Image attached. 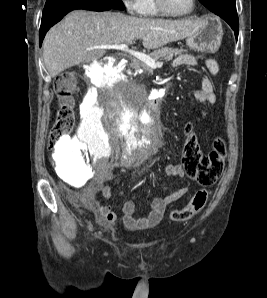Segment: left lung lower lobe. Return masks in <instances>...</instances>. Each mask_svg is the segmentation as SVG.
I'll return each instance as SVG.
<instances>
[{
  "label": "left lung lower lobe",
  "mask_w": 267,
  "mask_h": 298,
  "mask_svg": "<svg viewBox=\"0 0 267 298\" xmlns=\"http://www.w3.org/2000/svg\"><path fill=\"white\" fill-rule=\"evenodd\" d=\"M230 12V11H229ZM221 18H223L234 30L236 39L238 38V28H239V21H238V16L237 12H230L229 14H221L218 15Z\"/></svg>",
  "instance_id": "obj_1"
}]
</instances>
